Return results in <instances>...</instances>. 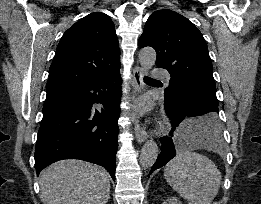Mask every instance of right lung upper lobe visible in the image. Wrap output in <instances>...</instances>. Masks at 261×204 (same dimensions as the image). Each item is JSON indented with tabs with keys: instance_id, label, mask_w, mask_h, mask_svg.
Here are the masks:
<instances>
[{
	"instance_id": "1",
	"label": "right lung upper lobe",
	"mask_w": 261,
	"mask_h": 204,
	"mask_svg": "<svg viewBox=\"0 0 261 204\" xmlns=\"http://www.w3.org/2000/svg\"><path fill=\"white\" fill-rule=\"evenodd\" d=\"M119 68L120 50L112 20L104 13H91L63 34L46 91L95 80Z\"/></svg>"
}]
</instances>
